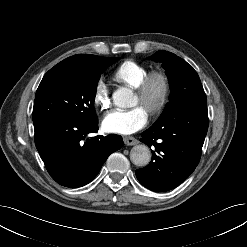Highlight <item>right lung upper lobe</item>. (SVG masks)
I'll list each match as a JSON object with an SVG mask.
<instances>
[{"label": "right lung upper lobe", "mask_w": 247, "mask_h": 247, "mask_svg": "<svg viewBox=\"0 0 247 247\" xmlns=\"http://www.w3.org/2000/svg\"><path fill=\"white\" fill-rule=\"evenodd\" d=\"M100 56H95L91 54H80V55H74L71 56L60 63H58L56 66H87L95 62Z\"/></svg>", "instance_id": "1"}]
</instances>
